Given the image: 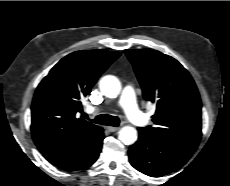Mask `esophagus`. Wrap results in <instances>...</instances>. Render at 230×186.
Returning <instances> with one entry per match:
<instances>
[{
	"label": "esophagus",
	"instance_id": "obj_1",
	"mask_svg": "<svg viewBox=\"0 0 230 186\" xmlns=\"http://www.w3.org/2000/svg\"><path fill=\"white\" fill-rule=\"evenodd\" d=\"M119 129H120V127H111V126L107 127V130H108L109 132H116V131H118Z\"/></svg>",
	"mask_w": 230,
	"mask_h": 186
}]
</instances>
